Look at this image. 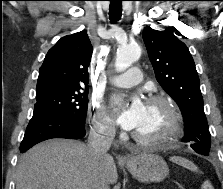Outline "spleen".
Returning a JSON list of instances; mask_svg holds the SVG:
<instances>
[{
	"label": "spleen",
	"instance_id": "1",
	"mask_svg": "<svg viewBox=\"0 0 223 189\" xmlns=\"http://www.w3.org/2000/svg\"><path fill=\"white\" fill-rule=\"evenodd\" d=\"M170 160L180 166H183V167L193 171V172L198 171L197 166L193 162H191L185 158L174 156V157H171ZM201 189H213V187H212L211 183L207 180L202 184Z\"/></svg>",
	"mask_w": 223,
	"mask_h": 189
}]
</instances>
